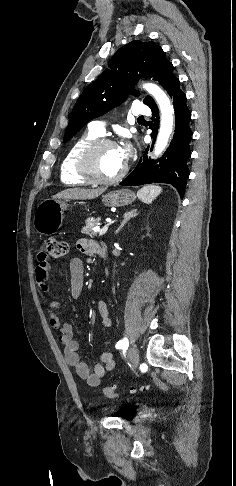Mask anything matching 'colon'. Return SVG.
I'll return each instance as SVG.
<instances>
[{
    "label": "colon",
    "mask_w": 236,
    "mask_h": 486,
    "mask_svg": "<svg viewBox=\"0 0 236 486\" xmlns=\"http://www.w3.org/2000/svg\"><path fill=\"white\" fill-rule=\"evenodd\" d=\"M66 252H67V244L65 242L54 238H49L45 240L44 252L42 253V255L45 258L58 260L62 258L66 254ZM146 389H148V386H143L140 387L139 389H132L130 393L134 394L137 391H144ZM103 394L110 399H114L119 396V394L115 391L113 387H104Z\"/></svg>",
    "instance_id": "colon-1"
}]
</instances>
